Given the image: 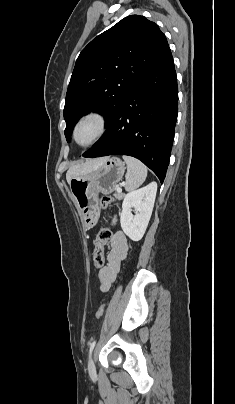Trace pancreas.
Wrapping results in <instances>:
<instances>
[{"mask_svg": "<svg viewBox=\"0 0 235 404\" xmlns=\"http://www.w3.org/2000/svg\"><path fill=\"white\" fill-rule=\"evenodd\" d=\"M114 197L118 200H121V199H123L124 194L122 192H117L114 194Z\"/></svg>", "mask_w": 235, "mask_h": 404, "instance_id": "1", "label": "pancreas"}]
</instances>
